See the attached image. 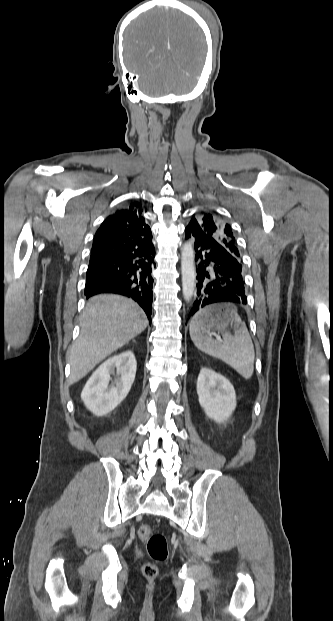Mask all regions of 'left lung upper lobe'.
I'll return each mask as SVG.
<instances>
[{
	"instance_id": "left-lung-upper-lobe-1",
	"label": "left lung upper lobe",
	"mask_w": 333,
	"mask_h": 621,
	"mask_svg": "<svg viewBox=\"0 0 333 621\" xmlns=\"http://www.w3.org/2000/svg\"><path fill=\"white\" fill-rule=\"evenodd\" d=\"M192 228H199L209 236L215 238L242 264L237 241L230 225L220 216L211 213H202L201 216H193L188 224Z\"/></svg>"
}]
</instances>
